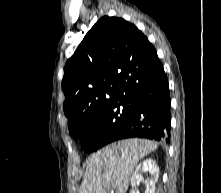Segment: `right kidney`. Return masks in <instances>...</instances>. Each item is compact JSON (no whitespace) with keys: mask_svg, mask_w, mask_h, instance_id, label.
<instances>
[{"mask_svg":"<svg viewBox=\"0 0 221 193\" xmlns=\"http://www.w3.org/2000/svg\"><path fill=\"white\" fill-rule=\"evenodd\" d=\"M144 172H149L150 174V178L145 180V193H155V184L157 183L159 178V167L157 166L156 162L151 158L144 160L136 167V170L134 171V174L131 178V185L133 189L130 193H135L136 186L141 181H143L142 173Z\"/></svg>","mask_w":221,"mask_h":193,"instance_id":"1","label":"right kidney"}]
</instances>
